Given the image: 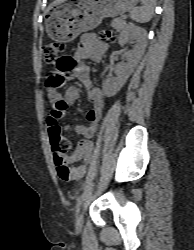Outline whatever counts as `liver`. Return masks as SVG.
<instances>
[{
    "label": "liver",
    "instance_id": "liver-1",
    "mask_svg": "<svg viewBox=\"0 0 194 250\" xmlns=\"http://www.w3.org/2000/svg\"><path fill=\"white\" fill-rule=\"evenodd\" d=\"M65 0H55L52 4H51V6L52 5H55V4H59V3H62V2H64Z\"/></svg>",
    "mask_w": 194,
    "mask_h": 250
}]
</instances>
